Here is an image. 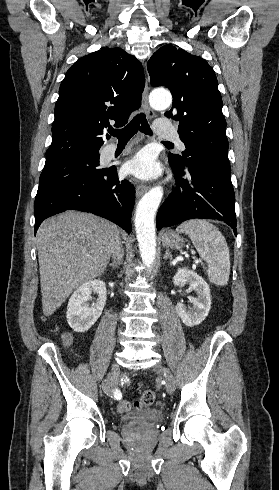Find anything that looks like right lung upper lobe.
<instances>
[{
  "mask_svg": "<svg viewBox=\"0 0 279 490\" xmlns=\"http://www.w3.org/2000/svg\"><path fill=\"white\" fill-rule=\"evenodd\" d=\"M144 84L140 62L121 48H103L75 62L60 85L45 164L99 156L109 120L117 127L127 123Z\"/></svg>",
  "mask_w": 279,
  "mask_h": 490,
  "instance_id": "1",
  "label": "right lung upper lobe"
}]
</instances>
